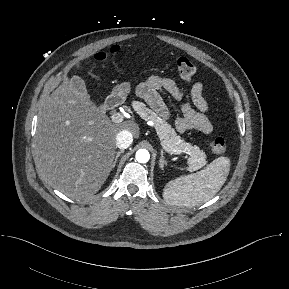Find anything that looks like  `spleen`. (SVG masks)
Listing matches in <instances>:
<instances>
[{"label":"spleen","mask_w":289,"mask_h":289,"mask_svg":"<svg viewBox=\"0 0 289 289\" xmlns=\"http://www.w3.org/2000/svg\"><path fill=\"white\" fill-rule=\"evenodd\" d=\"M230 171V159L219 157L199 172L181 176L168 182L164 199L172 205L191 207L215 196L225 183Z\"/></svg>","instance_id":"3e777b00"}]
</instances>
